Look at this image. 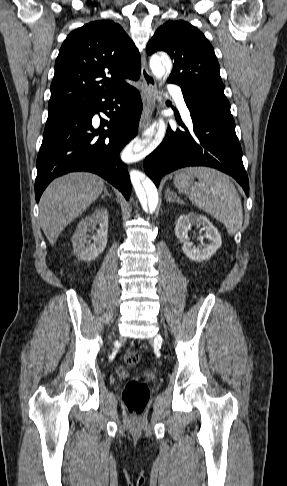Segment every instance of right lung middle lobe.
I'll use <instances>...</instances> for the list:
<instances>
[{
  "instance_id": "obj_1",
  "label": "right lung middle lobe",
  "mask_w": 287,
  "mask_h": 486,
  "mask_svg": "<svg viewBox=\"0 0 287 486\" xmlns=\"http://www.w3.org/2000/svg\"><path fill=\"white\" fill-rule=\"evenodd\" d=\"M77 110V108L61 109V110H48V119H52L63 114Z\"/></svg>"
}]
</instances>
